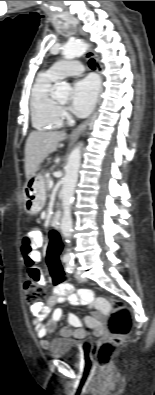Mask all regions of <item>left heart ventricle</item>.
<instances>
[{
    "label": "left heart ventricle",
    "instance_id": "1",
    "mask_svg": "<svg viewBox=\"0 0 155 395\" xmlns=\"http://www.w3.org/2000/svg\"><path fill=\"white\" fill-rule=\"evenodd\" d=\"M60 101V103H65L66 102V100L65 99H61V100H59Z\"/></svg>",
    "mask_w": 155,
    "mask_h": 395
}]
</instances>
